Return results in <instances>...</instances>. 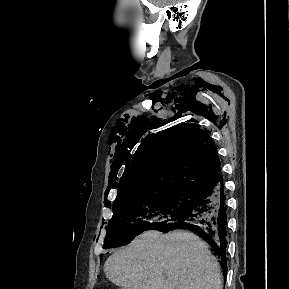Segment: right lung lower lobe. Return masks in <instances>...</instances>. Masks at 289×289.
Here are the masks:
<instances>
[{
	"instance_id": "right-lung-lower-lobe-1",
	"label": "right lung lower lobe",
	"mask_w": 289,
	"mask_h": 289,
	"mask_svg": "<svg viewBox=\"0 0 289 289\" xmlns=\"http://www.w3.org/2000/svg\"><path fill=\"white\" fill-rule=\"evenodd\" d=\"M227 205L223 178L194 191V199L187 211L169 219L156 230L169 232L175 229H187L195 232L217 254L224 276L227 273L226 247L228 232Z\"/></svg>"
}]
</instances>
